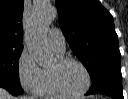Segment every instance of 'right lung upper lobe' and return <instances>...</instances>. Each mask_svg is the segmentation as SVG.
Here are the masks:
<instances>
[{
  "mask_svg": "<svg viewBox=\"0 0 128 99\" xmlns=\"http://www.w3.org/2000/svg\"><path fill=\"white\" fill-rule=\"evenodd\" d=\"M23 0H0V46L22 48Z\"/></svg>",
  "mask_w": 128,
  "mask_h": 99,
  "instance_id": "1",
  "label": "right lung upper lobe"
}]
</instances>
